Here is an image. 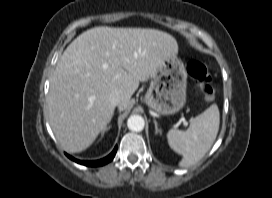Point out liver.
<instances>
[{
    "label": "liver",
    "instance_id": "6515ba94",
    "mask_svg": "<svg viewBox=\"0 0 272 198\" xmlns=\"http://www.w3.org/2000/svg\"><path fill=\"white\" fill-rule=\"evenodd\" d=\"M170 34L147 28L95 27L80 34L60 57L47 96L49 123L61 147L87 149L114 114L112 92L128 107L140 82L166 58L176 56Z\"/></svg>",
    "mask_w": 272,
    "mask_h": 198
}]
</instances>
